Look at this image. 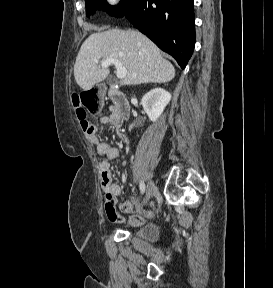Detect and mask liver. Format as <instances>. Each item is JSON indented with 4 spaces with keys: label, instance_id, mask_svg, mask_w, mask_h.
Returning <instances> with one entry per match:
<instances>
[{
    "label": "liver",
    "instance_id": "6515ba94",
    "mask_svg": "<svg viewBox=\"0 0 273 288\" xmlns=\"http://www.w3.org/2000/svg\"><path fill=\"white\" fill-rule=\"evenodd\" d=\"M106 58L118 59L126 69L124 85L165 83L175 76L173 65L145 35L135 30L112 29L91 34L79 50L74 76L83 90L89 91L107 78L109 69L99 66Z\"/></svg>",
    "mask_w": 273,
    "mask_h": 288
}]
</instances>
